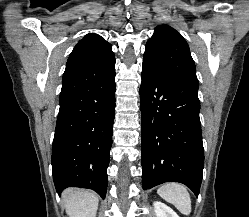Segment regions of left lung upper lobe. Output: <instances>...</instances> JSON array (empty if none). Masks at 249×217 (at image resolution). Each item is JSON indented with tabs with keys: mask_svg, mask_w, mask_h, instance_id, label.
Listing matches in <instances>:
<instances>
[{
	"mask_svg": "<svg viewBox=\"0 0 249 217\" xmlns=\"http://www.w3.org/2000/svg\"><path fill=\"white\" fill-rule=\"evenodd\" d=\"M143 67L169 79L198 86L195 63L186 40L172 27L159 25L145 48Z\"/></svg>",
	"mask_w": 249,
	"mask_h": 217,
	"instance_id": "5c2ea615",
	"label": "left lung upper lobe"
}]
</instances>
